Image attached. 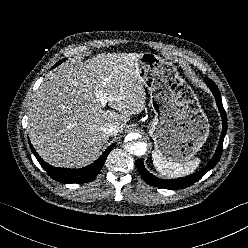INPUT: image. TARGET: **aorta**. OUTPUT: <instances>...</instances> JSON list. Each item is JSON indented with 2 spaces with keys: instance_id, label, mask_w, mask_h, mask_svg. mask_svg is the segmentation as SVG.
I'll use <instances>...</instances> for the list:
<instances>
[{
  "instance_id": "obj_1",
  "label": "aorta",
  "mask_w": 248,
  "mask_h": 248,
  "mask_svg": "<svg viewBox=\"0 0 248 248\" xmlns=\"http://www.w3.org/2000/svg\"><path fill=\"white\" fill-rule=\"evenodd\" d=\"M138 135L137 134H130L128 136V140L126 142V150L134 154L136 156H142L145 154L147 150V144L141 141H138Z\"/></svg>"
}]
</instances>
